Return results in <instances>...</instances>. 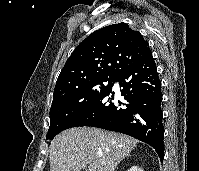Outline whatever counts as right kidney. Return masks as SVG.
Listing matches in <instances>:
<instances>
[{"mask_svg": "<svg viewBox=\"0 0 199 171\" xmlns=\"http://www.w3.org/2000/svg\"><path fill=\"white\" fill-rule=\"evenodd\" d=\"M127 171H143L140 167L138 166H132L129 170Z\"/></svg>", "mask_w": 199, "mask_h": 171, "instance_id": "obj_1", "label": "right kidney"}]
</instances>
